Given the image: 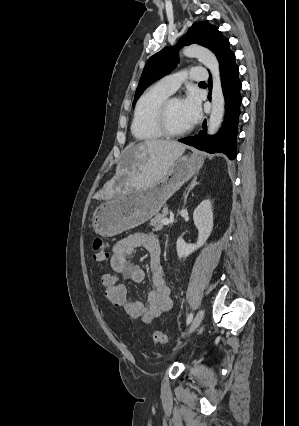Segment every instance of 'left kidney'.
<instances>
[{"instance_id": "5707ae66", "label": "left kidney", "mask_w": 299, "mask_h": 426, "mask_svg": "<svg viewBox=\"0 0 299 426\" xmlns=\"http://www.w3.org/2000/svg\"><path fill=\"white\" fill-rule=\"evenodd\" d=\"M194 224L198 229V240L195 244H188L182 237L176 242V250L179 258H186L195 250L204 245L213 230V210L210 200L202 201L193 213Z\"/></svg>"}]
</instances>
